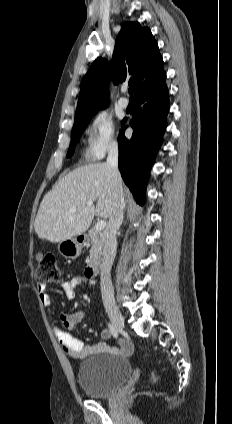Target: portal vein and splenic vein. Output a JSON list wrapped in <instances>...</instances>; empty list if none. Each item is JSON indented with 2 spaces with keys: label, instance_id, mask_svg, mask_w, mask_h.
Masks as SVG:
<instances>
[{
  "label": "portal vein and splenic vein",
  "instance_id": "1",
  "mask_svg": "<svg viewBox=\"0 0 232 424\" xmlns=\"http://www.w3.org/2000/svg\"><path fill=\"white\" fill-rule=\"evenodd\" d=\"M92 204H93L92 201L87 203V205H92ZM70 211L75 212L76 208L73 207V208L70 209ZM105 226H106V222L104 220H99V221H97L95 228H96V230H102Z\"/></svg>",
  "mask_w": 232,
  "mask_h": 424
}]
</instances>
